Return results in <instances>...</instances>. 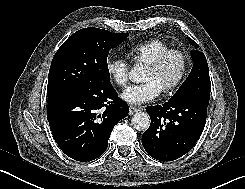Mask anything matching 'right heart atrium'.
I'll list each match as a JSON object with an SVG mask.
<instances>
[{
	"label": "right heart atrium",
	"instance_id": "1",
	"mask_svg": "<svg viewBox=\"0 0 245 189\" xmlns=\"http://www.w3.org/2000/svg\"><path fill=\"white\" fill-rule=\"evenodd\" d=\"M105 69L111 80L118 86H126L129 78V63L124 58L109 57Z\"/></svg>",
	"mask_w": 245,
	"mask_h": 189
}]
</instances>
